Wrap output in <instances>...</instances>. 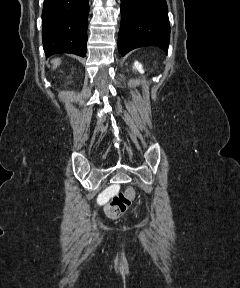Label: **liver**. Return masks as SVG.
Returning <instances> with one entry per match:
<instances>
[{
  "label": "liver",
  "mask_w": 240,
  "mask_h": 288,
  "mask_svg": "<svg viewBox=\"0 0 240 288\" xmlns=\"http://www.w3.org/2000/svg\"><path fill=\"white\" fill-rule=\"evenodd\" d=\"M61 63L59 58L53 59L52 60V64H53V69L57 68V66H59Z\"/></svg>",
  "instance_id": "1"
}]
</instances>
